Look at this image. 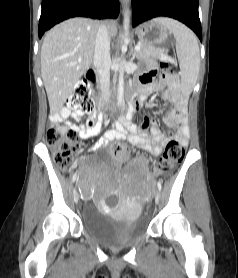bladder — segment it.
<instances>
[{
    "mask_svg": "<svg viewBox=\"0 0 238 278\" xmlns=\"http://www.w3.org/2000/svg\"><path fill=\"white\" fill-rule=\"evenodd\" d=\"M84 231L99 243L116 247L140 238L146 232L148 215L142 212L138 217L116 218L100 211L95 205L86 204L82 211Z\"/></svg>",
    "mask_w": 238,
    "mask_h": 278,
    "instance_id": "31cf9c89",
    "label": "bladder"
}]
</instances>
